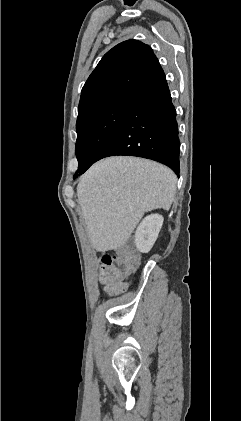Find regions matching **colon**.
I'll return each mask as SVG.
<instances>
[{"instance_id":"5ec220e1","label":"colon","mask_w":241,"mask_h":421,"mask_svg":"<svg viewBox=\"0 0 241 421\" xmlns=\"http://www.w3.org/2000/svg\"><path fill=\"white\" fill-rule=\"evenodd\" d=\"M132 1L137 2L138 0ZM138 261V254L129 247L118 249L113 254L104 255L101 262V280L124 289L123 281L134 272Z\"/></svg>"}]
</instances>
